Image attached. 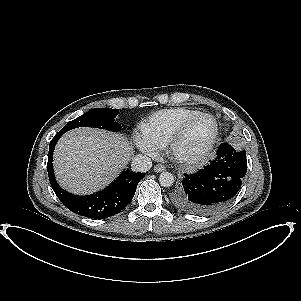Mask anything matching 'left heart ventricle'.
I'll list each match as a JSON object with an SVG mask.
<instances>
[{"mask_svg":"<svg viewBox=\"0 0 301 301\" xmlns=\"http://www.w3.org/2000/svg\"><path fill=\"white\" fill-rule=\"evenodd\" d=\"M214 130L213 122L202 118L194 122L181 140L178 151L183 155L198 153L210 140Z\"/></svg>","mask_w":301,"mask_h":301,"instance_id":"left-heart-ventricle-1","label":"left heart ventricle"}]
</instances>
